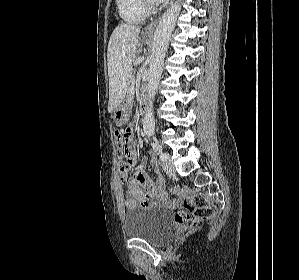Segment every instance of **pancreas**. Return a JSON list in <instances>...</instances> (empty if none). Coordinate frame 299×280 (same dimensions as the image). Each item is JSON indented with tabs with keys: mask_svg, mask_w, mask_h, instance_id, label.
Instances as JSON below:
<instances>
[{
	"mask_svg": "<svg viewBox=\"0 0 299 280\" xmlns=\"http://www.w3.org/2000/svg\"><path fill=\"white\" fill-rule=\"evenodd\" d=\"M131 85H133V80L130 79L128 87H130ZM127 98L131 99V95L129 93H127Z\"/></svg>",
	"mask_w": 299,
	"mask_h": 280,
	"instance_id": "1",
	"label": "pancreas"
}]
</instances>
